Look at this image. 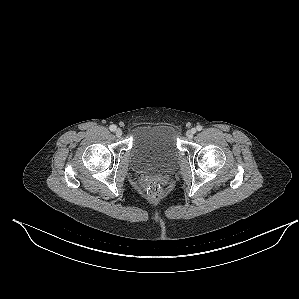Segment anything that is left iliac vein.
Listing matches in <instances>:
<instances>
[{
	"instance_id": "obj_1",
	"label": "left iliac vein",
	"mask_w": 299,
	"mask_h": 299,
	"mask_svg": "<svg viewBox=\"0 0 299 299\" xmlns=\"http://www.w3.org/2000/svg\"><path fill=\"white\" fill-rule=\"evenodd\" d=\"M196 130L195 129H191V130H188L186 132V136L189 138V139H192L193 138V135L195 134Z\"/></svg>"
}]
</instances>
